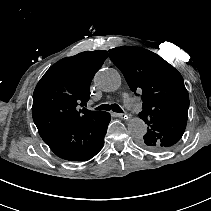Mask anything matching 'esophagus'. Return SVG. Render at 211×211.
I'll list each match as a JSON object with an SVG mask.
<instances>
[{
  "label": "esophagus",
  "mask_w": 211,
  "mask_h": 211,
  "mask_svg": "<svg viewBox=\"0 0 211 211\" xmlns=\"http://www.w3.org/2000/svg\"><path fill=\"white\" fill-rule=\"evenodd\" d=\"M116 116L119 118H122L123 122H128L129 121V115L124 114V113H116Z\"/></svg>",
  "instance_id": "34e87169"
}]
</instances>
